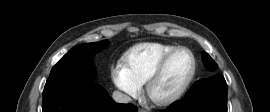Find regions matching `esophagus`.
Segmentation results:
<instances>
[{
    "label": "esophagus",
    "mask_w": 270,
    "mask_h": 112,
    "mask_svg": "<svg viewBox=\"0 0 270 112\" xmlns=\"http://www.w3.org/2000/svg\"><path fill=\"white\" fill-rule=\"evenodd\" d=\"M138 112H147V111L144 109H139Z\"/></svg>",
    "instance_id": "34e87169"
}]
</instances>
